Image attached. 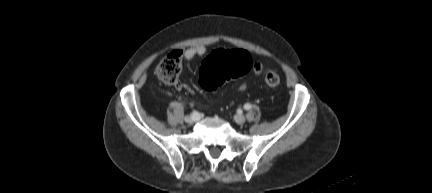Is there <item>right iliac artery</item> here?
I'll return each mask as SVG.
<instances>
[{
	"label": "right iliac artery",
	"instance_id": "right-iliac-artery-1",
	"mask_svg": "<svg viewBox=\"0 0 432 193\" xmlns=\"http://www.w3.org/2000/svg\"><path fill=\"white\" fill-rule=\"evenodd\" d=\"M192 115H193V116H196V115H197V112H196V111H193V112H192Z\"/></svg>",
	"mask_w": 432,
	"mask_h": 193
}]
</instances>
